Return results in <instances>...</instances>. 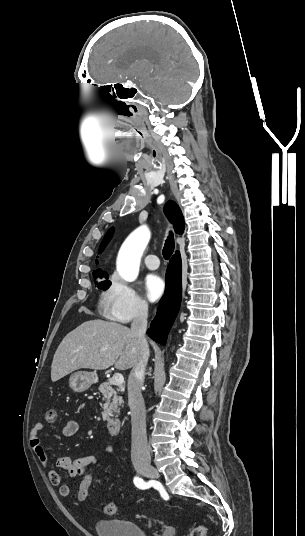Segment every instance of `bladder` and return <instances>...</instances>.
Returning <instances> with one entry per match:
<instances>
[{
    "instance_id": "obj_1",
    "label": "bladder",
    "mask_w": 305,
    "mask_h": 536,
    "mask_svg": "<svg viewBox=\"0 0 305 536\" xmlns=\"http://www.w3.org/2000/svg\"><path fill=\"white\" fill-rule=\"evenodd\" d=\"M94 532L97 536H152L137 522L123 518L97 519Z\"/></svg>"
}]
</instances>
